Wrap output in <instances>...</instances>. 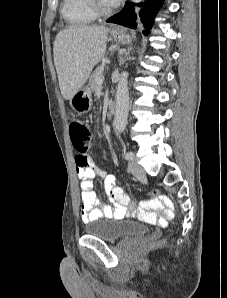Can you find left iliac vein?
Listing matches in <instances>:
<instances>
[{"instance_id":"obj_1","label":"left iliac vein","mask_w":227,"mask_h":298,"mask_svg":"<svg viewBox=\"0 0 227 298\" xmlns=\"http://www.w3.org/2000/svg\"><path fill=\"white\" fill-rule=\"evenodd\" d=\"M129 170L136 177H141L145 174L143 167L140 166L134 159L129 162Z\"/></svg>"}]
</instances>
